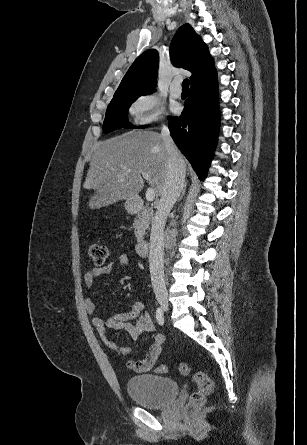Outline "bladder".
Wrapping results in <instances>:
<instances>
[{"label":"bladder","mask_w":307,"mask_h":445,"mask_svg":"<svg viewBox=\"0 0 307 445\" xmlns=\"http://www.w3.org/2000/svg\"><path fill=\"white\" fill-rule=\"evenodd\" d=\"M126 387L130 398L148 409L167 406L174 401L179 390L173 379L148 373L130 377Z\"/></svg>","instance_id":"obj_1"}]
</instances>
